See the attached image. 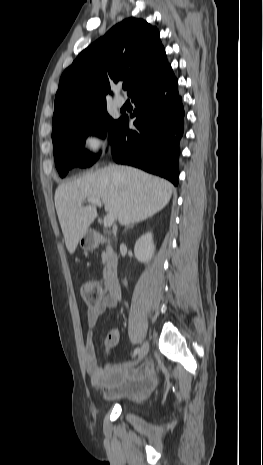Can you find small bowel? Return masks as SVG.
<instances>
[{
    "label": "small bowel",
    "instance_id": "1",
    "mask_svg": "<svg viewBox=\"0 0 263 465\" xmlns=\"http://www.w3.org/2000/svg\"><path fill=\"white\" fill-rule=\"evenodd\" d=\"M120 300L119 296L109 293L96 305L90 306L87 311V332L84 346V358L91 384L102 390L107 398L140 395L150 391L156 383L154 367L151 363H143L138 367L130 368L126 364H117L103 370L97 361L94 346L93 328L100 315L106 309H114ZM119 334L112 331L106 338V346L113 348L117 345Z\"/></svg>",
    "mask_w": 263,
    "mask_h": 465
}]
</instances>
